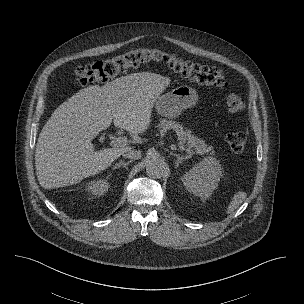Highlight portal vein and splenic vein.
Listing matches in <instances>:
<instances>
[{
    "label": "portal vein and splenic vein",
    "mask_w": 304,
    "mask_h": 304,
    "mask_svg": "<svg viewBox=\"0 0 304 304\" xmlns=\"http://www.w3.org/2000/svg\"><path fill=\"white\" fill-rule=\"evenodd\" d=\"M111 144L113 146L117 147H123L128 144V138L127 137H113L111 140ZM180 149L186 150L190 155H193V151L189 147L181 146Z\"/></svg>",
    "instance_id": "1"
}]
</instances>
